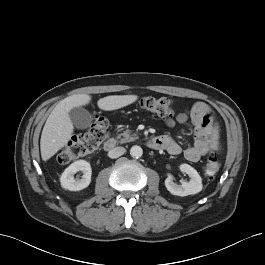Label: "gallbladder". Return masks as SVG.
<instances>
[{"label": "gallbladder", "mask_w": 265, "mask_h": 265, "mask_svg": "<svg viewBox=\"0 0 265 265\" xmlns=\"http://www.w3.org/2000/svg\"><path fill=\"white\" fill-rule=\"evenodd\" d=\"M73 125L78 129H85L92 123V115L82 107H76L69 112Z\"/></svg>", "instance_id": "1"}]
</instances>
